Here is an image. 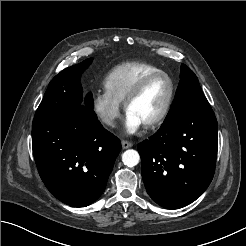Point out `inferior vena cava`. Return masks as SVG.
<instances>
[{
  "instance_id": "602c4592",
  "label": "inferior vena cava",
  "mask_w": 246,
  "mask_h": 246,
  "mask_svg": "<svg viewBox=\"0 0 246 246\" xmlns=\"http://www.w3.org/2000/svg\"><path fill=\"white\" fill-rule=\"evenodd\" d=\"M104 122L110 126H113V119L112 118H105Z\"/></svg>"
}]
</instances>
